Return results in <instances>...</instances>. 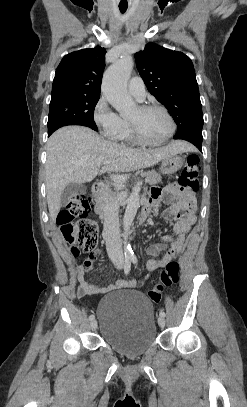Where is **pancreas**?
Instances as JSON below:
<instances>
[{"label":"pancreas","mask_w":247,"mask_h":407,"mask_svg":"<svg viewBox=\"0 0 247 407\" xmlns=\"http://www.w3.org/2000/svg\"><path fill=\"white\" fill-rule=\"evenodd\" d=\"M144 175L149 179L148 183L150 185H155L158 184L162 181V177L159 173H157L156 171H148L145 172ZM115 189L116 190H121L122 189V185L115 183L114 184ZM108 197V190L104 189L99 193V201H103Z\"/></svg>","instance_id":"obj_1"}]
</instances>
